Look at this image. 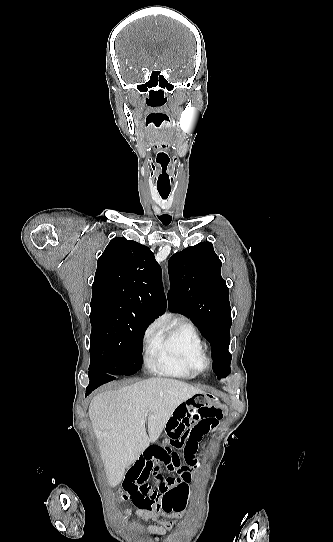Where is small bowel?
<instances>
[{"label": "small bowel", "instance_id": "1", "mask_svg": "<svg viewBox=\"0 0 333 542\" xmlns=\"http://www.w3.org/2000/svg\"><path fill=\"white\" fill-rule=\"evenodd\" d=\"M172 413L166 426L164 445L146 448L125 476L135 482L132 500L139 509L138 518L158 521V525L150 526L148 531L159 536L176 526V522L167 521L173 519V514L169 513L172 508L163 507V498L181 497L184 483L190 479L187 467L181 466L180 456L175 450L183 453L187 463L194 464L200 443L209 442L206 435L213 433L224 417L222 409L200 405L197 400H184L182 405L174 406ZM164 465L178 476L165 477L161 473ZM165 516L167 520L163 519ZM174 517L179 520L187 516L177 513Z\"/></svg>", "mask_w": 333, "mask_h": 542}]
</instances>
